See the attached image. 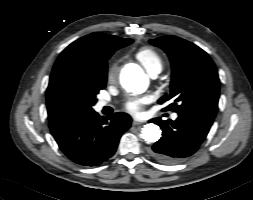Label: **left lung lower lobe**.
<instances>
[{
  "mask_svg": "<svg viewBox=\"0 0 253 200\" xmlns=\"http://www.w3.org/2000/svg\"><path fill=\"white\" fill-rule=\"evenodd\" d=\"M214 118L202 113H178L175 121L152 119L162 128L163 136L149 150L150 155L167 164L192 155L206 138Z\"/></svg>",
  "mask_w": 253,
  "mask_h": 200,
  "instance_id": "1",
  "label": "left lung lower lobe"
}]
</instances>
